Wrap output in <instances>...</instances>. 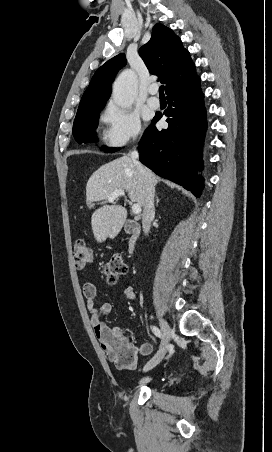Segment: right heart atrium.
Here are the masks:
<instances>
[{"mask_svg":"<svg viewBox=\"0 0 272 452\" xmlns=\"http://www.w3.org/2000/svg\"><path fill=\"white\" fill-rule=\"evenodd\" d=\"M101 121L104 125L102 139L110 148L122 147L142 135L139 116L113 102L108 103L103 109Z\"/></svg>","mask_w":272,"mask_h":452,"instance_id":"1","label":"right heart atrium"}]
</instances>
